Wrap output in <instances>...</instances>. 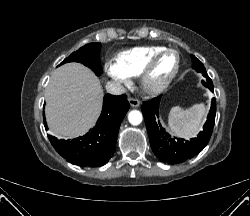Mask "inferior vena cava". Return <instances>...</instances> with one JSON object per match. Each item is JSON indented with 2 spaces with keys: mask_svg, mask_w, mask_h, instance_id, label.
<instances>
[{
  "mask_svg": "<svg viewBox=\"0 0 250 216\" xmlns=\"http://www.w3.org/2000/svg\"><path fill=\"white\" fill-rule=\"evenodd\" d=\"M106 90L108 93L113 95H122L126 92L124 86L115 81H109L106 83Z\"/></svg>",
  "mask_w": 250,
  "mask_h": 216,
  "instance_id": "obj_1",
  "label": "inferior vena cava"
}]
</instances>
